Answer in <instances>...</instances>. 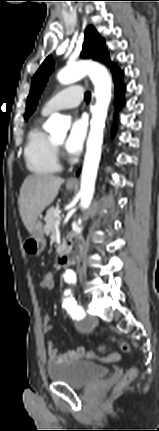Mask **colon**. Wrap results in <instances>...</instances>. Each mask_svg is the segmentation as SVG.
I'll return each mask as SVG.
<instances>
[{"label": "colon", "mask_w": 159, "mask_h": 431, "mask_svg": "<svg viewBox=\"0 0 159 431\" xmlns=\"http://www.w3.org/2000/svg\"><path fill=\"white\" fill-rule=\"evenodd\" d=\"M52 269V268H51ZM46 272V270H45ZM50 277H48V279L50 280L49 283V287H48V292L49 293H54L55 292V288L57 287V284L55 283V278L53 277V269L50 272ZM121 349L123 351H128L129 350V346L127 343H122L121 344ZM85 356L87 358L90 359H97V362L101 363H119L121 360L124 358L123 354H107V358H105L106 356L104 354H101V357H99L97 354L93 353V352H86ZM137 371L136 369L132 368L130 370H128L126 372V374L124 375V377L122 378V380L120 381L119 385H118V389H121L123 387H125L126 385H128L135 377H136Z\"/></svg>", "instance_id": "colon-1"}]
</instances>
